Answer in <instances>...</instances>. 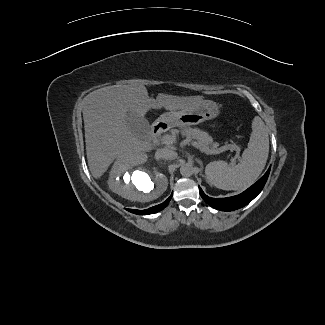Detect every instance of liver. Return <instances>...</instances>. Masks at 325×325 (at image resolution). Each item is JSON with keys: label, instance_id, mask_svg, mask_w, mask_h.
Segmentation results:
<instances>
[{"label": "liver", "instance_id": "6515ba94", "mask_svg": "<svg viewBox=\"0 0 325 325\" xmlns=\"http://www.w3.org/2000/svg\"><path fill=\"white\" fill-rule=\"evenodd\" d=\"M203 96H174L159 93L148 96L144 85H112L97 89L84 99L83 118L88 166L100 178L117 159L146 156L154 146L135 136L126 123L128 112L144 117L152 109L186 110L201 103Z\"/></svg>", "mask_w": 325, "mask_h": 325}]
</instances>
